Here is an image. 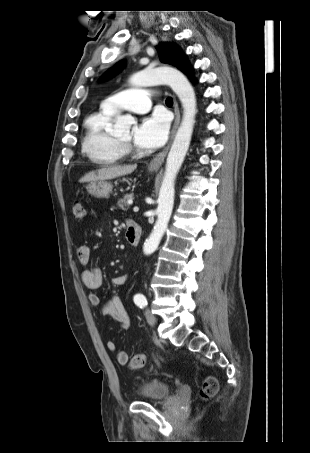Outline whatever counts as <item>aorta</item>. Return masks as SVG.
I'll return each instance as SVG.
<instances>
[{
	"mask_svg": "<svg viewBox=\"0 0 310 453\" xmlns=\"http://www.w3.org/2000/svg\"><path fill=\"white\" fill-rule=\"evenodd\" d=\"M129 83L135 87L165 83L176 93L183 107L182 122L177 130L166 161L165 175L161 184L156 211L157 221L143 247L144 254L150 255L157 249L172 214L176 176L188 151L195 123L197 111L196 96L188 79L180 71L172 67L144 69L132 75ZM132 123H134V119L131 116H117L114 132L116 134L128 133Z\"/></svg>",
	"mask_w": 310,
	"mask_h": 453,
	"instance_id": "1",
	"label": "aorta"
}]
</instances>
